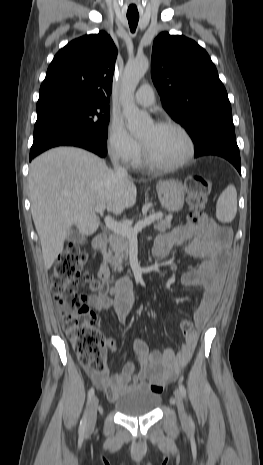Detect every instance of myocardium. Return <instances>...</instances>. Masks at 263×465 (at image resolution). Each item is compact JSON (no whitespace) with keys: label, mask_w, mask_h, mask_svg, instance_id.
Masks as SVG:
<instances>
[{"label":"myocardium","mask_w":263,"mask_h":465,"mask_svg":"<svg viewBox=\"0 0 263 465\" xmlns=\"http://www.w3.org/2000/svg\"><path fill=\"white\" fill-rule=\"evenodd\" d=\"M155 125L158 126V127H170V128H174V129L178 130L184 136V138L187 141V145H188L187 153L184 156V158L181 159L180 161H177V162L171 163V164H165V163H161V162L157 161L151 155V153L149 152L147 147L142 142L141 144H142V150H143V155H144L145 162L150 167H152L154 169H157V170H162V171H173V170H177V169H180V168L186 166L193 159V157L195 155V142H194V139H193L192 135L190 134V132L182 124H180V123H178L176 121H173V120L158 121Z\"/></svg>","instance_id":"1"}]
</instances>
